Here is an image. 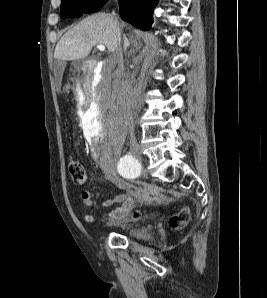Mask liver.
Segmentation results:
<instances>
[{
  "instance_id": "6515ba94",
  "label": "liver",
  "mask_w": 267,
  "mask_h": 298,
  "mask_svg": "<svg viewBox=\"0 0 267 298\" xmlns=\"http://www.w3.org/2000/svg\"><path fill=\"white\" fill-rule=\"evenodd\" d=\"M116 26L119 28L118 20L108 13L86 17L62 36L54 58L63 61L83 59L96 44L105 45L113 53L119 44Z\"/></svg>"
}]
</instances>
